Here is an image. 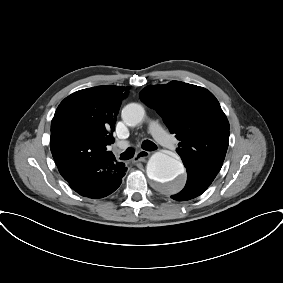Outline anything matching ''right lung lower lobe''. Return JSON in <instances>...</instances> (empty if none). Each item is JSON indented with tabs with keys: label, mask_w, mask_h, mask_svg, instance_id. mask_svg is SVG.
Returning a JSON list of instances; mask_svg holds the SVG:
<instances>
[{
	"label": "right lung lower lobe",
	"mask_w": 283,
	"mask_h": 283,
	"mask_svg": "<svg viewBox=\"0 0 283 283\" xmlns=\"http://www.w3.org/2000/svg\"><path fill=\"white\" fill-rule=\"evenodd\" d=\"M126 170L125 164L115 162L114 158L102 159L75 172L66 181L81 196L103 198L120 186Z\"/></svg>",
	"instance_id": "obj_1"
}]
</instances>
